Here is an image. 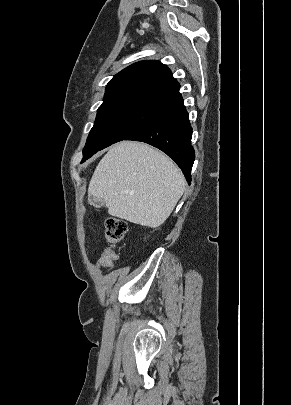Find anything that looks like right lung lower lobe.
Segmentation results:
<instances>
[{"instance_id":"1","label":"right lung lower lobe","mask_w":291,"mask_h":405,"mask_svg":"<svg viewBox=\"0 0 291 405\" xmlns=\"http://www.w3.org/2000/svg\"><path fill=\"white\" fill-rule=\"evenodd\" d=\"M191 138L192 127L183 99L180 98L165 113L125 140L145 142L162 150L177 163L190 183L195 160Z\"/></svg>"}]
</instances>
